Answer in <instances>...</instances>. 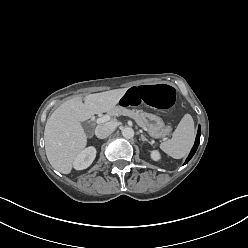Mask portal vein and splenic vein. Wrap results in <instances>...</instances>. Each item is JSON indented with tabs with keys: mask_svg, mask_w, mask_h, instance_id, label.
I'll return each instance as SVG.
<instances>
[{
	"mask_svg": "<svg viewBox=\"0 0 248 248\" xmlns=\"http://www.w3.org/2000/svg\"><path fill=\"white\" fill-rule=\"evenodd\" d=\"M110 120V116L109 115H103L102 117L98 118L96 120L97 124H101V123H104V122H107Z\"/></svg>",
	"mask_w": 248,
	"mask_h": 248,
	"instance_id": "obj_1",
	"label": "portal vein and splenic vein"
}]
</instances>
